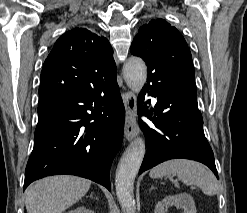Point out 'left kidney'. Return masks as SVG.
Wrapping results in <instances>:
<instances>
[{
    "label": "left kidney",
    "instance_id": "5707ae66",
    "mask_svg": "<svg viewBox=\"0 0 247 213\" xmlns=\"http://www.w3.org/2000/svg\"><path fill=\"white\" fill-rule=\"evenodd\" d=\"M169 206L181 208L184 210V213H197L192 196L186 193L167 196L163 200L159 201L155 206V213H166Z\"/></svg>",
    "mask_w": 247,
    "mask_h": 213
}]
</instances>
